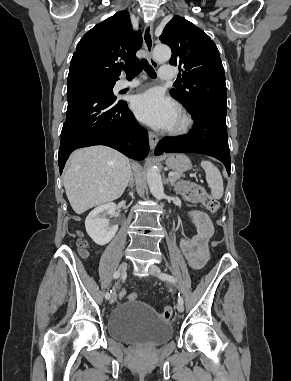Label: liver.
<instances>
[{
	"label": "liver",
	"mask_w": 291,
	"mask_h": 381,
	"mask_svg": "<svg viewBox=\"0 0 291 381\" xmlns=\"http://www.w3.org/2000/svg\"><path fill=\"white\" fill-rule=\"evenodd\" d=\"M130 175L131 166L125 155L99 145L71 154L63 183L71 207L82 214L121 197Z\"/></svg>",
	"instance_id": "liver-1"
}]
</instances>
